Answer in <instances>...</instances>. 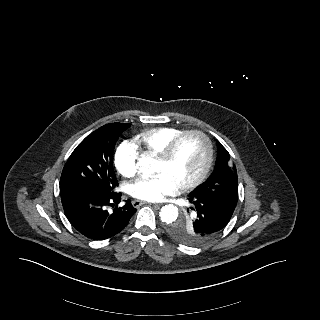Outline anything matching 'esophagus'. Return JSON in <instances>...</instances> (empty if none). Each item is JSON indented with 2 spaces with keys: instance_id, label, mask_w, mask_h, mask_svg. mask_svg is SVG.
I'll return each instance as SVG.
<instances>
[{
  "instance_id": "1",
  "label": "esophagus",
  "mask_w": 320,
  "mask_h": 320,
  "mask_svg": "<svg viewBox=\"0 0 320 320\" xmlns=\"http://www.w3.org/2000/svg\"><path fill=\"white\" fill-rule=\"evenodd\" d=\"M143 204H146V202H143V201H139V200H134L133 202H132V205H133V207H135V208H138V207H140L141 205H143ZM154 206H157V204H153Z\"/></svg>"
}]
</instances>
